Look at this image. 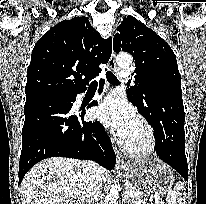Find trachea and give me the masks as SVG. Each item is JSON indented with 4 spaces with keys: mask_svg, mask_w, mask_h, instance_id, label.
I'll return each mask as SVG.
<instances>
[{
    "mask_svg": "<svg viewBox=\"0 0 206 204\" xmlns=\"http://www.w3.org/2000/svg\"><path fill=\"white\" fill-rule=\"evenodd\" d=\"M106 77H107L108 82L111 84H118L119 83L117 77L109 70L106 71ZM97 84H98L97 81L94 80L91 82L90 87L91 88L97 87Z\"/></svg>",
    "mask_w": 206,
    "mask_h": 204,
    "instance_id": "obj_1",
    "label": "trachea"
}]
</instances>
